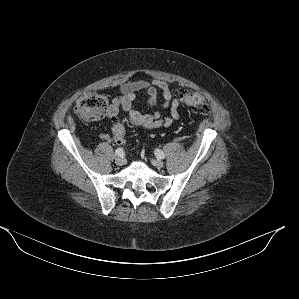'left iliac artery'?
<instances>
[{
  "instance_id": "left-iliac-artery-1",
  "label": "left iliac artery",
  "mask_w": 299,
  "mask_h": 299,
  "mask_svg": "<svg viewBox=\"0 0 299 299\" xmlns=\"http://www.w3.org/2000/svg\"><path fill=\"white\" fill-rule=\"evenodd\" d=\"M155 155L157 156V158L159 159H164L165 158V154L163 153V151L156 149L155 150Z\"/></svg>"
}]
</instances>
